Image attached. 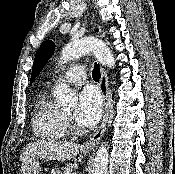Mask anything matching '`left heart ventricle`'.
<instances>
[{"mask_svg": "<svg viewBox=\"0 0 175 174\" xmlns=\"http://www.w3.org/2000/svg\"><path fill=\"white\" fill-rule=\"evenodd\" d=\"M73 113H74V109H70V110L65 112V114L70 116V117L73 115Z\"/></svg>", "mask_w": 175, "mask_h": 174, "instance_id": "b2bd125f", "label": "left heart ventricle"}]
</instances>
